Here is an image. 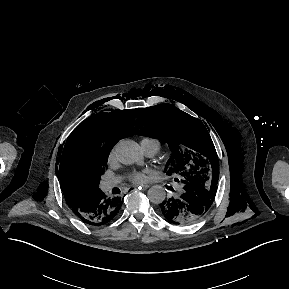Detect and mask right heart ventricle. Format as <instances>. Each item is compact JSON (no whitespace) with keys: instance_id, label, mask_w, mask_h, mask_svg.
<instances>
[{"instance_id":"1","label":"right heart ventricle","mask_w":289,"mask_h":289,"mask_svg":"<svg viewBox=\"0 0 289 289\" xmlns=\"http://www.w3.org/2000/svg\"><path fill=\"white\" fill-rule=\"evenodd\" d=\"M145 140H154V139H152V138H144L142 141H145Z\"/></svg>"}]
</instances>
